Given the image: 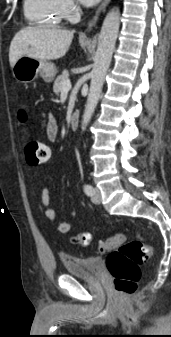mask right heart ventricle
Listing matches in <instances>:
<instances>
[{
    "label": "right heart ventricle",
    "instance_id": "1",
    "mask_svg": "<svg viewBox=\"0 0 171 337\" xmlns=\"http://www.w3.org/2000/svg\"><path fill=\"white\" fill-rule=\"evenodd\" d=\"M26 19L38 26H57L64 18L59 0H24Z\"/></svg>",
    "mask_w": 171,
    "mask_h": 337
}]
</instances>
